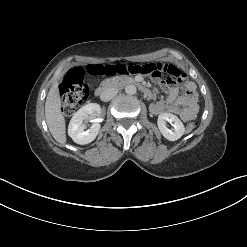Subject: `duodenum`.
Returning <instances> with one entry per match:
<instances>
[{"instance_id":"obj_1","label":"duodenum","mask_w":247,"mask_h":247,"mask_svg":"<svg viewBox=\"0 0 247 247\" xmlns=\"http://www.w3.org/2000/svg\"><path fill=\"white\" fill-rule=\"evenodd\" d=\"M122 85L136 86L145 96H150V90L134 78L119 77L103 81L95 90V95L102 98L105 93L115 87Z\"/></svg>"}]
</instances>
